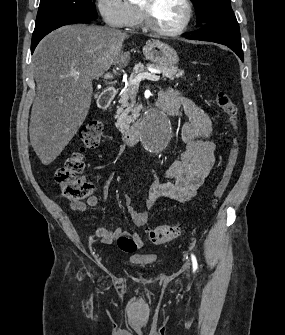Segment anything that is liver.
Masks as SVG:
<instances>
[{"label": "liver", "mask_w": 285, "mask_h": 335, "mask_svg": "<svg viewBox=\"0 0 285 335\" xmlns=\"http://www.w3.org/2000/svg\"><path fill=\"white\" fill-rule=\"evenodd\" d=\"M128 38L115 28L74 24L43 38L33 54L37 94L29 136L40 162L48 166L69 144L90 110L93 80L112 66H128L121 54Z\"/></svg>", "instance_id": "6515ba94"}]
</instances>
